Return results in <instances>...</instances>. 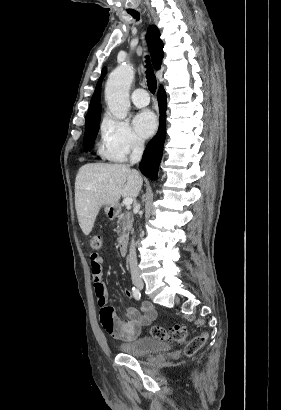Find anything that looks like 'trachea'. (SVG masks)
<instances>
[{
	"mask_svg": "<svg viewBox=\"0 0 281 410\" xmlns=\"http://www.w3.org/2000/svg\"><path fill=\"white\" fill-rule=\"evenodd\" d=\"M129 14L136 17L137 19L139 18L138 12H130ZM146 63H147L146 78H147V83H148V89L150 90L152 94H154L157 88V80L153 72L152 66L150 64V61L148 59L146 60Z\"/></svg>",
	"mask_w": 281,
	"mask_h": 410,
	"instance_id": "3493384b",
	"label": "trachea"
}]
</instances>
